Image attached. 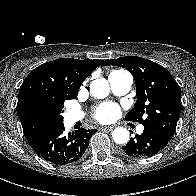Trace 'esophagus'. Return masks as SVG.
I'll return each mask as SVG.
<instances>
[{"instance_id":"1","label":"esophagus","mask_w":196,"mask_h":196,"mask_svg":"<svg viewBox=\"0 0 196 196\" xmlns=\"http://www.w3.org/2000/svg\"><path fill=\"white\" fill-rule=\"evenodd\" d=\"M114 128V126H105L103 127L104 130H112Z\"/></svg>"}]
</instances>
